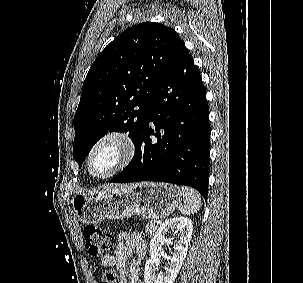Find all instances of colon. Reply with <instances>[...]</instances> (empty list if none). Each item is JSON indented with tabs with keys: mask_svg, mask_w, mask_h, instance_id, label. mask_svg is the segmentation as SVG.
I'll return each mask as SVG.
<instances>
[{
	"mask_svg": "<svg viewBox=\"0 0 303 283\" xmlns=\"http://www.w3.org/2000/svg\"><path fill=\"white\" fill-rule=\"evenodd\" d=\"M83 237L86 249L91 255L101 254L104 251L110 250L114 245L111 234L94 225L85 227ZM109 273L112 276H116L115 270H110Z\"/></svg>",
	"mask_w": 303,
	"mask_h": 283,
	"instance_id": "5ec220e1",
	"label": "colon"
}]
</instances>
